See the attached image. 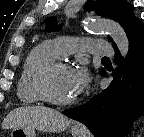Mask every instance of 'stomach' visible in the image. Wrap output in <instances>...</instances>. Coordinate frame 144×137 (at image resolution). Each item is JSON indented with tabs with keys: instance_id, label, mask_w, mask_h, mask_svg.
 I'll return each mask as SVG.
<instances>
[{
	"instance_id": "stomach-1",
	"label": "stomach",
	"mask_w": 144,
	"mask_h": 137,
	"mask_svg": "<svg viewBox=\"0 0 144 137\" xmlns=\"http://www.w3.org/2000/svg\"><path fill=\"white\" fill-rule=\"evenodd\" d=\"M73 137H83L82 131L73 127L71 129ZM11 137H36L34 129L13 128L11 131Z\"/></svg>"
}]
</instances>
